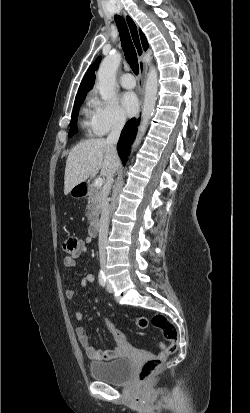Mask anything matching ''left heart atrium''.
<instances>
[{"mask_svg":"<svg viewBox=\"0 0 250 413\" xmlns=\"http://www.w3.org/2000/svg\"><path fill=\"white\" fill-rule=\"evenodd\" d=\"M121 103L128 116H133L138 110V99L133 92H126L121 97Z\"/></svg>","mask_w":250,"mask_h":413,"instance_id":"left-heart-atrium-1","label":"left heart atrium"}]
</instances>
